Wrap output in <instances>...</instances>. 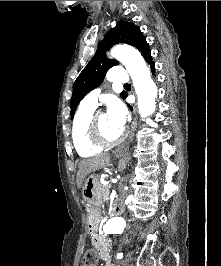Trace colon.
Returning <instances> with one entry per match:
<instances>
[{
  "mask_svg": "<svg viewBox=\"0 0 221 266\" xmlns=\"http://www.w3.org/2000/svg\"><path fill=\"white\" fill-rule=\"evenodd\" d=\"M98 262L97 254L94 250H88L83 257V266H96Z\"/></svg>",
  "mask_w": 221,
  "mask_h": 266,
  "instance_id": "obj_1",
  "label": "colon"
}]
</instances>
